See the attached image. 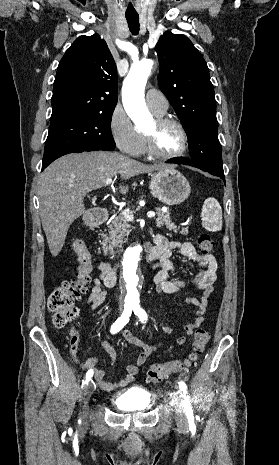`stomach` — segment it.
<instances>
[{"label":"stomach","mask_w":279,"mask_h":465,"mask_svg":"<svg viewBox=\"0 0 279 465\" xmlns=\"http://www.w3.org/2000/svg\"><path fill=\"white\" fill-rule=\"evenodd\" d=\"M152 194L166 205H178L190 195L191 188L187 179L172 167L163 168L155 173L150 181Z\"/></svg>","instance_id":"1"}]
</instances>
